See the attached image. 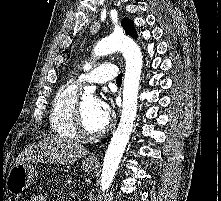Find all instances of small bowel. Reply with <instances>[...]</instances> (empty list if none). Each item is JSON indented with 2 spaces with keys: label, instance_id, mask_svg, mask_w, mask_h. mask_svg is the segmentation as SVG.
I'll use <instances>...</instances> for the list:
<instances>
[{
  "label": "small bowel",
  "instance_id": "obj_1",
  "mask_svg": "<svg viewBox=\"0 0 221 201\" xmlns=\"http://www.w3.org/2000/svg\"><path fill=\"white\" fill-rule=\"evenodd\" d=\"M29 201H48L43 195H35Z\"/></svg>",
  "mask_w": 221,
  "mask_h": 201
}]
</instances>
